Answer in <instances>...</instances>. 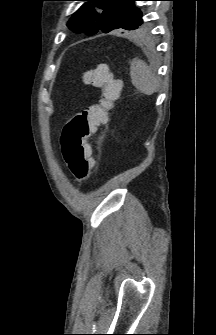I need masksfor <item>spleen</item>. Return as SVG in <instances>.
I'll list each match as a JSON object with an SVG mask.
<instances>
[{
    "instance_id": "3e777b00",
    "label": "spleen",
    "mask_w": 216,
    "mask_h": 335,
    "mask_svg": "<svg viewBox=\"0 0 216 335\" xmlns=\"http://www.w3.org/2000/svg\"><path fill=\"white\" fill-rule=\"evenodd\" d=\"M130 76L133 86L146 95H152L158 90V79L150 67L140 59H133L130 66Z\"/></svg>"
}]
</instances>
